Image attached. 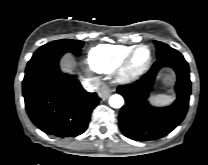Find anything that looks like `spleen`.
Returning <instances> with one entry per match:
<instances>
[{
	"label": "spleen",
	"instance_id": "obj_1",
	"mask_svg": "<svg viewBox=\"0 0 208 165\" xmlns=\"http://www.w3.org/2000/svg\"><path fill=\"white\" fill-rule=\"evenodd\" d=\"M174 100L173 96L169 95H157L152 98V101L156 105H167L170 104Z\"/></svg>",
	"mask_w": 208,
	"mask_h": 165
}]
</instances>
